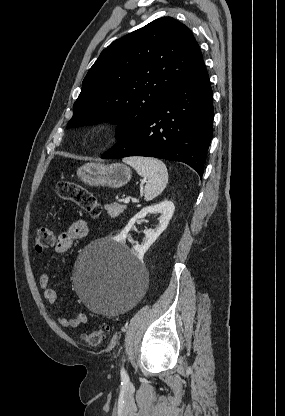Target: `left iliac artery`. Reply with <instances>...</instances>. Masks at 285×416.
Wrapping results in <instances>:
<instances>
[{"mask_svg":"<svg viewBox=\"0 0 285 416\" xmlns=\"http://www.w3.org/2000/svg\"><path fill=\"white\" fill-rule=\"evenodd\" d=\"M123 361H125V360H123ZM120 375H121V379L122 380H126L127 381L129 379V376H128V374H127L124 366H122V368H121Z\"/></svg>","mask_w":285,"mask_h":416,"instance_id":"44dca946","label":"left iliac artery"}]
</instances>
